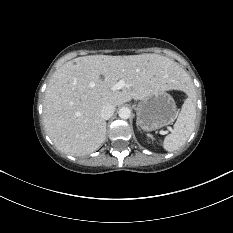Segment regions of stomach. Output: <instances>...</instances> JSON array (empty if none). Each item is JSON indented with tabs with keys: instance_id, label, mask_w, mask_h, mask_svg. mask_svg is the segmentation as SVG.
Listing matches in <instances>:
<instances>
[{
	"instance_id": "stomach-1",
	"label": "stomach",
	"mask_w": 233,
	"mask_h": 233,
	"mask_svg": "<svg viewBox=\"0 0 233 233\" xmlns=\"http://www.w3.org/2000/svg\"><path fill=\"white\" fill-rule=\"evenodd\" d=\"M177 113L174 99L166 91L142 99L137 106V124L145 131H153L171 124Z\"/></svg>"
}]
</instances>
